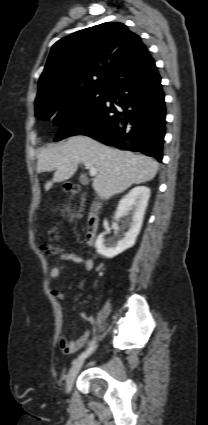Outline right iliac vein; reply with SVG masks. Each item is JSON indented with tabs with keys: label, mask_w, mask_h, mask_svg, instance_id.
<instances>
[{
	"label": "right iliac vein",
	"mask_w": 208,
	"mask_h": 425,
	"mask_svg": "<svg viewBox=\"0 0 208 425\" xmlns=\"http://www.w3.org/2000/svg\"><path fill=\"white\" fill-rule=\"evenodd\" d=\"M84 363V359H79L71 366L67 377H66V391L69 392L73 386L74 380L78 375L82 365Z\"/></svg>",
	"instance_id": "1"
}]
</instances>
